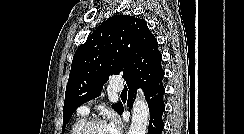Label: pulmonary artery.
Segmentation results:
<instances>
[{
	"instance_id": "e3ab8cb5",
	"label": "pulmonary artery",
	"mask_w": 244,
	"mask_h": 134,
	"mask_svg": "<svg viewBox=\"0 0 244 134\" xmlns=\"http://www.w3.org/2000/svg\"><path fill=\"white\" fill-rule=\"evenodd\" d=\"M111 88L114 92H122L124 89V84L120 80H115L111 84ZM89 111H90V108H89V105H87V104L81 105L78 108V114L82 115V116H86L89 113Z\"/></svg>"
}]
</instances>
